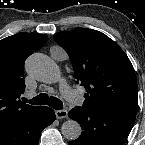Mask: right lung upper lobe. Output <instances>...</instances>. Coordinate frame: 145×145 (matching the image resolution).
<instances>
[{
  "label": "right lung upper lobe",
  "mask_w": 145,
  "mask_h": 145,
  "mask_svg": "<svg viewBox=\"0 0 145 145\" xmlns=\"http://www.w3.org/2000/svg\"><path fill=\"white\" fill-rule=\"evenodd\" d=\"M47 39L45 34L22 32L0 40V128L40 108L19 98L25 91L24 62Z\"/></svg>",
  "instance_id": "cb5924a9"
}]
</instances>
